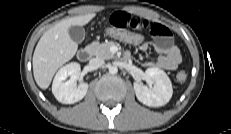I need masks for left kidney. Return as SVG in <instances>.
I'll use <instances>...</instances> for the list:
<instances>
[{
    "mask_svg": "<svg viewBox=\"0 0 231 134\" xmlns=\"http://www.w3.org/2000/svg\"><path fill=\"white\" fill-rule=\"evenodd\" d=\"M147 79L154 83L152 88H148L142 83H134V91L137 99L150 107H159L167 104L172 97V84L167 74L159 68H148L146 70Z\"/></svg>",
    "mask_w": 231,
    "mask_h": 134,
    "instance_id": "1",
    "label": "left kidney"
}]
</instances>
